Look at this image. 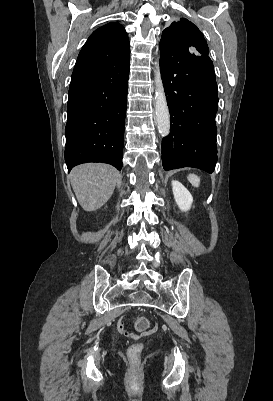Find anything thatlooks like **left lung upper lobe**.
I'll return each mask as SVG.
<instances>
[{"mask_svg": "<svg viewBox=\"0 0 273 401\" xmlns=\"http://www.w3.org/2000/svg\"><path fill=\"white\" fill-rule=\"evenodd\" d=\"M160 45L171 49H186L197 54H209L203 34L197 26L185 18L173 22L163 31Z\"/></svg>", "mask_w": 273, "mask_h": 401, "instance_id": "5c2ea615", "label": "left lung upper lobe"}]
</instances>
